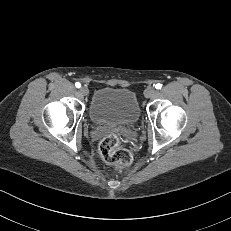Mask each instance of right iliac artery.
<instances>
[{
	"instance_id": "right-iliac-artery-1",
	"label": "right iliac artery",
	"mask_w": 231,
	"mask_h": 231,
	"mask_svg": "<svg viewBox=\"0 0 231 231\" xmlns=\"http://www.w3.org/2000/svg\"><path fill=\"white\" fill-rule=\"evenodd\" d=\"M75 86H76L77 88H80V87H81V84H80L79 82H77V83L75 84Z\"/></svg>"
}]
</instances>
